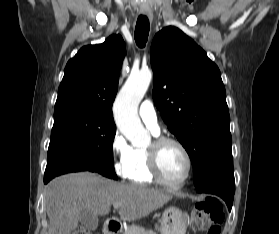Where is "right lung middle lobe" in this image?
Here are the masks:
<instances>
[{"instance_id": "obj_1", "label": "right lung middle lobe", "mask_w": 279, "mask_h": 234, "mask_svg": "<svg viewBox=\"0 0 279 234\" xmlns=\"http://www.w3.org/2000/svg\"><path fill=\"white\" fill-rule=\"evenodd\" d=\"M114 120L78 111L54 113L45 174L66 162H83L103 176L117 179L112 163Z\"/></svg>"}]
</instances>
